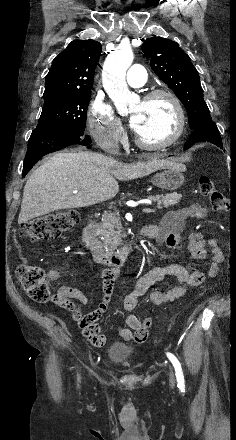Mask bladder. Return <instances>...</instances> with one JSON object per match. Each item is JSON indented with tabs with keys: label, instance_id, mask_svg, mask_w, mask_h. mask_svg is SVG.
<instances>
[{
	"label": "bladder",
	"instance_id": "31cf9c89",
	"mask_svg": "<svg viewBox=\"0 0 236 440\" xmlns=\"http://www.w3.org/2000/svg\"><path fill=\"white\" fill-rule=\"evenodd\" d=\"M133 349L122 342L113 343L108 350V360L114 364H123L133 355Z\"/></svg>",
	"mask_w": 236,
	"mask_h": 440
}]
</instances>
